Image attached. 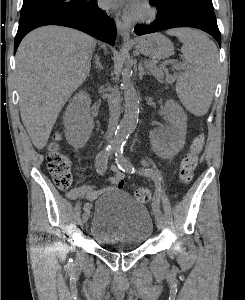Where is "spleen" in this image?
Instances as JSON below:
<instances>
[{
    "label": "spleen",
    "instance_id": "3e777b00",
    "mask_svg": "<svg viewBox=\"0 0 245 300\" xmlns=\"http://www.w3.org/2000/svg\"><path fill=\"white\" fill-rule=\"evenodd\" d=\"M167 34L177 36L183 43L182 53L190 67L177 79L176 92L192 114L207 113L213 98L218 52L216 45L203 33L192 29H173Z\"/></svg>",
    "mask_w": 245,
    "mask_h": 300
}]
</instances>
